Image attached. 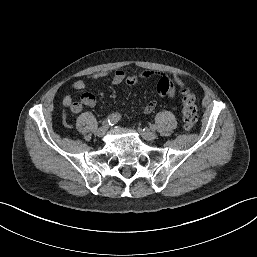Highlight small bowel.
Instances as JSON below:
<instances>
[{
  "instance_id": "small-bowel-1",
  "label": "small bowel",
  "mask_w": 257,
  "mask_h": 257,
  "mask_svg": "<svg viewBox=\"0 0 257 257\" xmlns=\"http://www.w3.org/2000/svg\"><path fill=\"white\" fill-rule=\"evenodd\" d=\"M107 76L111 77V82L115 85L126 83L128 86H133L142 80L154 81L157 85L158 95L161 97L167 96L169 98H174L177 91L182 89L184 86L183 81L178 76L170 78L167 74L163 72L144 71L140 74L126 75V73L122 70H104L77 79L73 83V88L75 90H83L86 87L87 81L98 80ZM63 104L66 107H69L73 113L78 114L83 110L84 106L94 107L96 105V97L94 94L86 92L82 94L80 101L74 102L69 95H66L63 98ZM156 106L157 101H150L145 106L144 112L149 114L155 109Z\"/></svg>"
}]
</instances>
